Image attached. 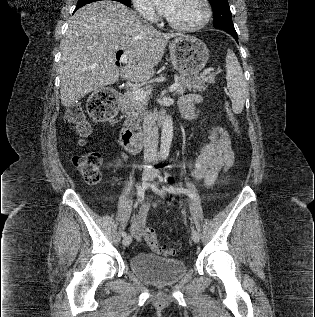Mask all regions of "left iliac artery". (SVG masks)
I'll list each match as a JSON object with an SVG mask.
<instances>
[{
  "label": "left iliac artery",
  "instance_id": "left-iliac-artery-1",
  "mask_svg": "<svg viewBox=\"0 0 315 317\" xmlns=\"http://www.w3.org/2000/svg\"><path fill=\"white\" fill-rule=\"evenodd\" d=\"M160 181H161V182L163 181V178H162V177H160ZM165 182H166V179H165ZM155 189H156L157 191H160L157 186L155 187ZM161 190H165V191H167V192H169V193H184V194L189 195V196H192V195H193V194H192L190 191H188L187 189L179 188V187L175 188V187L172 186V185H163Z\"/></svg>",
  "mask_w": 315,
  "mask_h": 317
}]
</instances>
